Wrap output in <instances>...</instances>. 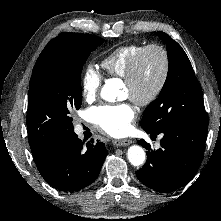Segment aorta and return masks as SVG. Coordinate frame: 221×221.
Returning <instances> with one entry per match:
<instances>
[{"mask_svg": "<svg viewBox=\"0 0 221 221\" xmlns=\"http://www.w3.org/2000/svg\"><path fill=\"white\" fill-rule=\"evenodd\" d=\"M118 94V88L115 80H108L103 86L101 96L104 100L114 102ZM129 162L133 166H140L145 162L146 154L142 147L138 145L130 146L127 152Z\"/></svg>", "mask_w": 221, "mask_h": 221, "instance_id": "1", "label": "aorta"}]
</instances>
